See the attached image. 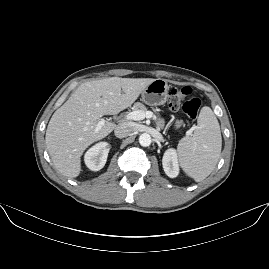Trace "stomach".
Here are the masks:
<instances>
[{"instance_id": "1", "label": "stomach", "mask_w": 269, "mask_h": 269, "mask_svg": "<svg viewBox=\"0 0 269 269\" xmlns=\"http://www.w3.org/2000/svg\"><path fill=\"white\" fill-rule=\"evenodd\" d=\"M168 83L165 79H156L142 93V100L150 106L163 105L168 100Z\"/></svg>"}]
</instances>
